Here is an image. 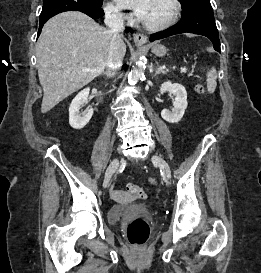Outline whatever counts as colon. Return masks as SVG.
I'll return each mask as SVG.
<instances>
[{
  "instance_id": "colon-1",
  "label": "colon",
  "mask_w": 261,
  "mask_h": 273,
  "mask_svg": "<svg viewBox=\"0 0 261 273\" xmlns=\"http://www.w3.org/2000/svg\"><path fill=\"white\" fill-rule=\"evenodd\" d=\"M126 193L130 197L139 200H145L148 197L146 189L139 185L133 184L128 185ZM113 194L115 197L122 196V194L118 192H114ZM149 234H150L149 226L143 219L134 220L127 228V236L132 244L136 245L144 244L148 240Z\"/></svg>"
}]
</instances>
